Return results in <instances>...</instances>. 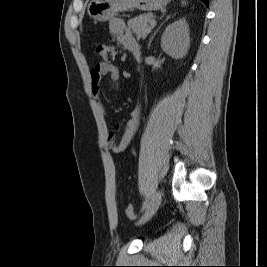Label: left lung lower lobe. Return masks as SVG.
<instances>
[{
  "mask_svg": "<svg viewBox=\"0 0 267 267\" xmlns=\"http://www.w3.org/2000/svg\"><path fill=\"white\" fill-rule=\"evenodd\" d=\"M206 5H208L209 0H202Z\"/></svg>",
  "mask_w": 267,
  "mask_h": 267,
  "instance_id": "0a47b994",
  "label": "left lung lower lobe"
}]
</instances>
